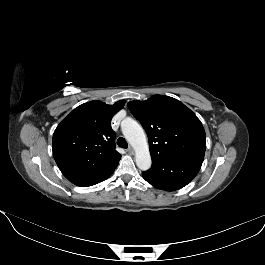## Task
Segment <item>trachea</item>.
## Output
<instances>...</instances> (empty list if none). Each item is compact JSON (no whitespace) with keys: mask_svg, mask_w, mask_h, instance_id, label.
Instances as JSON below:
<instances>
[{"mask_svg":"<svg viewBox=\"0 0 265 265\" xmlns=\"http://www.w3.org/2000/svg\"><path fill=\"white\" fill-rule=\"evenodd\" d=\"M117 145L119 147L125 148V149L128 147V144H127L126 140L123 137L118 138Z\"/></svg>","mask_w":265,"mask_h":265,"instance_id":"1","label":"trachea"}]
</instances>
